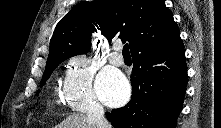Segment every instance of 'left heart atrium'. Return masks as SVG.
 Here are the masks:
<instances>
[{
	"label": "left heart atrium",
	"mask_w": 221,
	"mask_h": 128,
	"mask_svg": "<svg viewBox=\"0 0 221 128\" xmlns=\"http://www.w3.org/2000/svg\"><path fill=\"white\" fill-rule=\"evenodd\" d=\"M97 91L105 104L119 105L128 98L130 88L118 71L105 70L98 77Z\"/></svg>",
	"instance_id": "obj_1"
}]
</instances>
